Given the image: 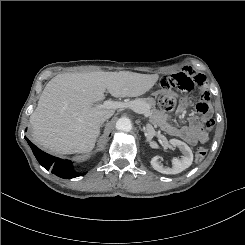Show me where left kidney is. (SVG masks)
<instances>
[{
  "instance_id": "left-kidney-1",
  "label": "left kidney",
  "mask_w": 245,
  "mask_h": 245,
  "mask_svg": "<svg viewBox=\"0 0 245 245\" xmlns=\"http://www.w3.org/2000/svg\"><path fill=\"white\" fill-rule=\"evenodd\" d=\"M170 144L173 147H178L182 152V156L181 158H173V167H164L160 161L159 156L153 157L150 162L151 166L153 167V169L162 174H178L190 167L193 162L192 150L186 143L177 139H171Z\"/></svg>"
}]
</instances>
